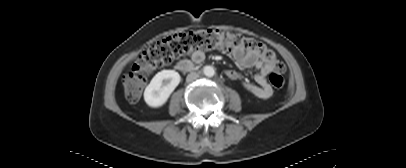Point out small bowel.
Returning <instances> with one entry per match:
<instances>
[{"mask_svg":"<svg viewBox=\"0 0 406 168\" xmlns=\"http://www.w3.org/2000/svg\"><path fill=\"white\" fill-rule=\"evenodd\" d=\"M232 55L236 62L243 68H256L259 72L254 76L255 84L244 82V88L260 99H268L272 96V88L267 83V75L273 70V63L265 62L257 53L253 51H234ZM205 54L202 51L195 52L192 59L195 63H200L204 60ZM228 78L232 80H239L242 78L241 74L234 70L226 71Z\"/></svg>","mask_w":406,"mask_h":168,"instance_id":"small-bowel-1","label":"small bowel"}]
</instances>
